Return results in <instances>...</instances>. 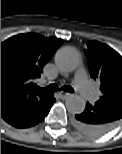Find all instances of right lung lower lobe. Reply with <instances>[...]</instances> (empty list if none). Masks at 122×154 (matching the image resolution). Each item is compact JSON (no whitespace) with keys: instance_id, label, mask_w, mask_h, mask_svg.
<instances>
[{"instance_id":"right-lung-lower-lobe-1","label":"right lung lower lobe","mask_w":122,"mask_h":154,"mask_svg":"<svg viewBox=\"0 0 122 154\" xmlns=\"http://www.w3.org/2000/svg\"><path fill=\"white\" fill-rule=\"evenodd\" d=\"M54 101L55 98L52 94L40 107L26 112L25 114L21 115L9 124H11L15 128H28L40 123L49 113V110L53 105Z\"/></svg>"}]
</instances>
